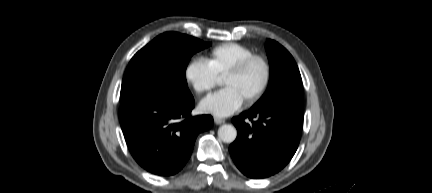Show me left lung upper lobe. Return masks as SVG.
<instances>
[{
	"label": "left lung upper lobe",
	"instance_id": "left-lung-upper-lobe-1",
	"mask_svg": "<svg viewBox=\"0 0 432 193\" xmlns=\"http://www.w3.org/2000/svg\"><path fill=\"white\" fill-rule=\"evenodd\" d=\"M265 49L270 65L269 84L252 108L280 105L304 110L302 79L294 58L272 39L266 40Z\"/></svg>",
	"mask_w": 432,
	"mask_h": 193
}]
</instances>
